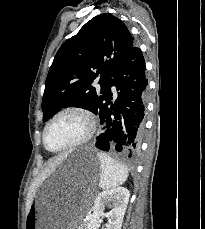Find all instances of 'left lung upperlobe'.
<instances>
[{"instance_id":"1","label":"left lung upper lobe","mask_w":205,"mask_h":229,"mask_svg":"<svg viewBox=\"0 0 205 229\" xmlns=\"http://www.w3.org/2000/svg\"><path fill=\"white\" fill-rule=\"evenodd\" d=\"M126 25L109 13L95 16L62 44L50 67L42 100L43 122L63 107L98 114L107 106L114 76L134 46ZM98 79L101 91L92 87Z\"/></svg>"}]
</instances>
